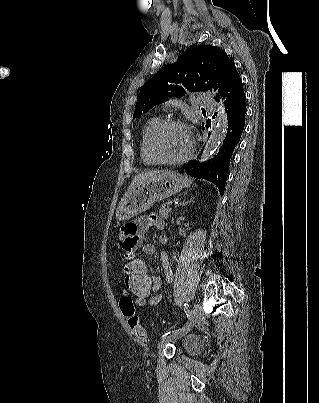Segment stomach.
Returning a JSON list of instances; mask_svg holds the SVG:
<instances>
[{"label":"stomach","mask_w":319,"mask_h":403,"mask_svg":"<svg viewBox=\"0 0 319 403\" xmlns=\"http://www.w3.org/2000/svg\"><path fill=\"white\" fill-rule=\"evenodd\" d=\"M190 185V179L171 171L151 176L125 194L118 205L116 217L118 220H129L148 210L155 202L167 199Z\"/></svg>","instance_id":"obj_1"}]
</instances>
